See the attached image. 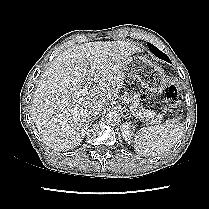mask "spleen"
<instances>
[{"label":"spleen","mask_w":209,"mask_h":209,"mask_svg":"<svg viewBox=\"0 0 209 209\" xmlns=\"http://www.w3.org/2000/svg\"><path fill=\"white\" fill-rule=\"evenodd\" d=\"M183 131L184 124L177 118H169L164 124L142 128L136 135L135 152L145 157L163 154L177 143Z\"/></svg>","instance_id":"spleen-1"}]
</instances>
